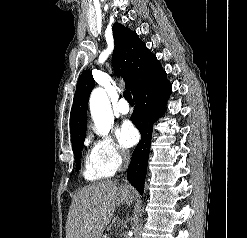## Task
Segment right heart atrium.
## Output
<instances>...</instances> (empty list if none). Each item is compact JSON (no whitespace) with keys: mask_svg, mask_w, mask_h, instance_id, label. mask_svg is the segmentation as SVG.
Here are the masks:
<instances>
[{"mask_svg":"<svg viewBox=\"0 0 247 238\" xmlns=\"http://www.w3.org/2000/svg\"><path fill=\"white\" fill-rule=\"evenodd\" d=\"M94 149L113 172L117 171L129 157L128 151L116 143L111 136L96 140Z\"/></svg>","mask_w":247,"mask_h":238,"instance_id":"obj_1","label":"right heart atrium"}]
</instances>
